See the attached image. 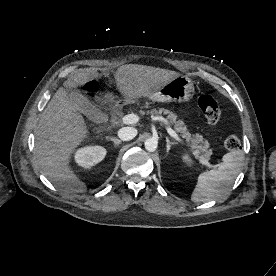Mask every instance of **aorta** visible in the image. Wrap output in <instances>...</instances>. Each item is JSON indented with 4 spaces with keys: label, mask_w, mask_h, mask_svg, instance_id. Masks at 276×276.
Masks as SVG:
<instances>
[{
    "label": "aorta",
    "mask_w": 276,
    "mask_h": 276,
    "mask_svg": "<svg viewBox=\"0 0 276 276\" xmlns=\"http://www.w3.org/2000/svg\"><path fill=\"white\" fill-rule=\"evenodd\" d=\"M145 149L149 152H154L157 149L158 142L155 139H147L144 143Z\"/></svg>",
    "instance_id": "762f6f07"
}]
</instances>
